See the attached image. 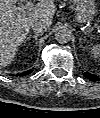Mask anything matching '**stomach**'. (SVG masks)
Wrapping results in <instances>:
<instances>
[{
    "label": "stomach",
    "instance_id": "0dacf381",
    "mask_svg": "<svg viewBox=\"0 0 100 118\" xmlns=\"http://www.w3.org/2000/svg\"><path fill=\"white\" fill-rule=\"evenodd\" d=\"M76 13L75 20L80 24H86L93 19L96 13L95 0H73Z\"/></svg>",
    "mask_w": 100,
    "mask_h": 118
}]
</instances>
